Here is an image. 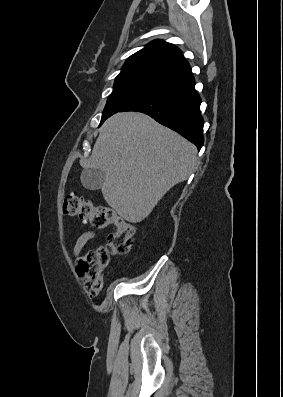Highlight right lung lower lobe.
<instances>
[{
    "label": "right lung lower lobe",
    "instance_id": "obj_1",
    "mask_svg": "<svg viewBox=\"0 0 283 397\" xmlns=\"http://www.w3.org/2000/svg\"><path fill=\"white\" fill-rule=\"evenodd\" d=\"M200 104L201 98L195 90V79L191 75L150 93L120 112L145 113L181 134L200 150L204 143V120Z\"/></svg>",
    "mask_w": 283,
    "mask_h": 397
}]
</instances>
